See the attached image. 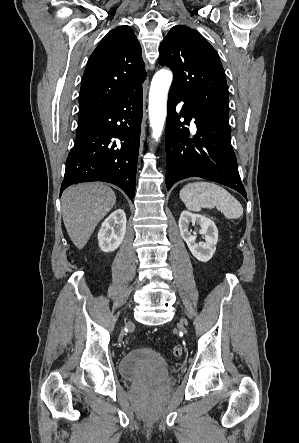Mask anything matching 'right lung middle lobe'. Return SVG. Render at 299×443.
Instances as JSON below:
<instances>
[{"instance_id":"right-lung-middle-lobe-1","label":"right lung middle lobe","mask_w":299,"mask_h":443,"mask_svg":"<svg viewBox=\"0 0 299 443\" xmlns=\"http://www.w3.org/2000/svg\"><path fill=\"white\" fill-rule=\"evenodd\" d=\"M82 128V123H78L77 132Z\"/></svg>"}]
</instances>
